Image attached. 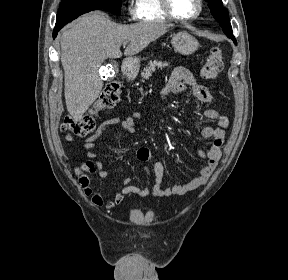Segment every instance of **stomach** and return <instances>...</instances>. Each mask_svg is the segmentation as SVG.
<instances>
[{"instance_id":"1","label":"stomach","mask_w":288,"mask_h":280,"mask_svg":"<svg viewBox=\"0 0 288 280\" xmlns=\"http://www.w3.org/2000/svg\"><path fill=\"white\" fill-rule=\"evenodd\" d=\"M171 44L174 50L181 55L193 54L199 46L195 37L190 35L187 31H180L172 36ZM130 65H138L140 60L137 57L128 59Z\"/></svg>"}]
</instances>
